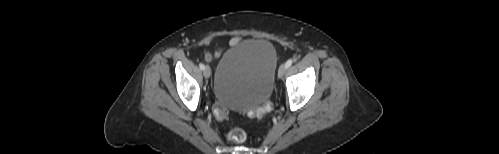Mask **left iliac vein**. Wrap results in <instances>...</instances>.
<instances>
[{
    "instance_id": "obj_1",
    "label": "left iliac vein",
    "mask_w": 499,
    "mask_h": 154,
    "mask_svg": "<svg viewBox=\"0 0 499 154\" xmlns=\"http://www.w3.org/2000/svg\"><path fill=\"white\" fill-rule=\"evenodd\" d=\"M287 67L285 64H282L279 69H278V78H282L284 74L286 73Z\"/></svg>"
}]
</instances>
